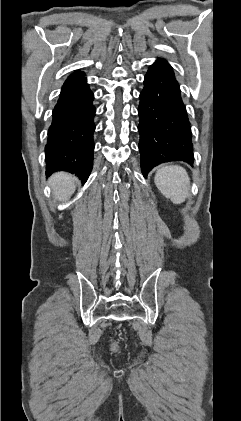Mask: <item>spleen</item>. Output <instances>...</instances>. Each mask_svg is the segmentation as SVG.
<instances>
[{
    "label": "spleen",
    "mask_w": 241,
    "mask_h": 421,
    "mask_svg": "<svg viewBox=\"0 0 241 421\" xmlns=\"http://www.w3.org/2000/svg\"><path fill=\"white\" fill-rule=\"evenodd\" d=\"M154 182L161 193L174 204L183 203L190 195V179L180 166L167 165L159 168Z\"/></svg>",
    "instance_id": "obj_1"
}]
</instances>
